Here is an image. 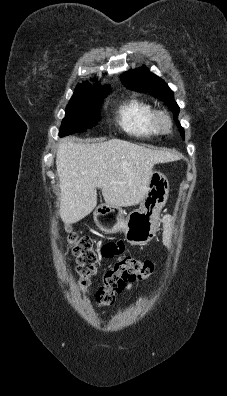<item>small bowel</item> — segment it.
<instances>
[{"label":"small bowel","mask_w":227,"mask_h":396,"mask_svg":"<svg viewBox=\"0 0 227 396\" xmlns=\"http://www.w3.org/2000/svg\"><path fill=\"white\" fill-rule=\"evenodd\" d=\"M164 236L163 243L166 247L171 248L172 246V237H171V228H172V219L169 216L164 217ZM123 243L122 242H109L102 246L101 254L106 258H112L116 255H119L123 252ZM130 288V287H129Z\"/></svg>","instance_id":"c3829d8e"}]
</instances>
